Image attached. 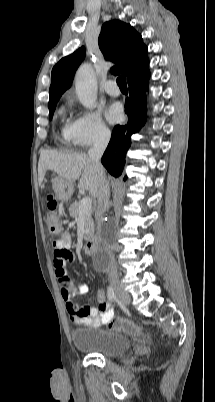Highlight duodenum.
<instances>
[{
	"instance_id": "1",
	"label": "duodenum",
	"mask_w": 215,
	"mask_h": 402,
	"mask_svg": "<svg viewBox=\"0 0 215 402\" xmlns=\"http://www.w3.org/2000/svg\"><path fill=\"white\" fill-rule=\"evenodd\" d=\"M98 249V241L96 239H90L84 247L87 255H94Z\"/></svg>"
}]
</instances>
